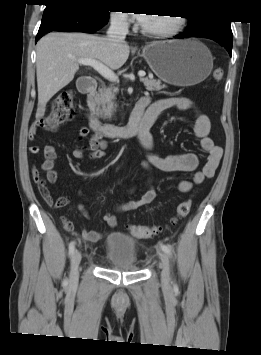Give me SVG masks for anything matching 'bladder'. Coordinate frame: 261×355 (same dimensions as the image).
Instances as JSON below:
<instances>
[{
    "instance_id": "1",
    "label": "bladder",
    "mask_w": 261,
    "mask_h": 355,
    "mask_svg": "<svg viewBox=\"0 0 261 355\" xmlns=\"http://www.w3.org/2000/svg\"><path fill=\"white\" fill-rule=\"evenodd\" d=\"M108 261L116 268L124 271H134L137 267L136 242L133 238L118 232L107 237Z\"/></svg>"
}]
</instances>
